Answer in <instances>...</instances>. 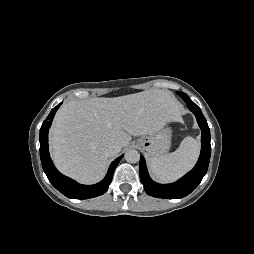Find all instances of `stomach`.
<instances>
[{
	"label": "stomach",
	"mask_w": 254,
	"mask_h": 254,
	"mask_svg": "<svg viewBox=\"0 0 254 254\" xmlns=\"http://www.w3.org/2000/svg\"><path fill=\"white\" fill-rule=\"evenodd\" d=\"M171 133V128L165 125L158 132L139 138L137 145L151 158L163 156L170 149Z\"/></svg>",
	"instance_id": "stomach-1"
}]
</instances>
